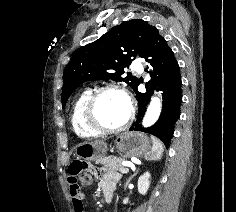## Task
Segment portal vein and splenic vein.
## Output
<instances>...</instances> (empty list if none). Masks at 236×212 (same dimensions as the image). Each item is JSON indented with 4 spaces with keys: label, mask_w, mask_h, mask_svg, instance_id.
Wrapping results in <instances>:
<instances>
[{
    "label": "portal vein and splenic vein",
    "mask_w": 236,
    "mask_h": 212,
    "mask_svg": "<svg viewBox=\"0 0 236 212\" xmlns=\"http://www.w3.org/2000/svg\"><path fill=\"white\" fill-rule=\"evenodd\" d=\"M123 168L120 170L121 173H127L129 171L128 167H132L131 163H123Z\"/></svg>",
    "instance_id": "18ae733b"
}]
</instances>
